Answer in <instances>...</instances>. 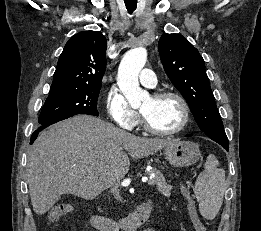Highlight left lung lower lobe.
Wrapping results in <instances>:
<instances>
[{"label": "left lung lower lobe", "mask_w": 261, "mask_h": 231, "mask_svg": "<svg viewBox=\"0 0 261 231\" xmlns=\"http://www.w3.org/2000/svg\"><path fill=\"white\" fill-rule=\"evenodd\" d=\"M186 136H191V134H188ZM214 141H216L217 143H219L221 146H223L227 151L229 150V144L228 142H225V141H222V140H219V139H212Z\"/></svg>", "instance_id": "obj_1"}]
</instances>
